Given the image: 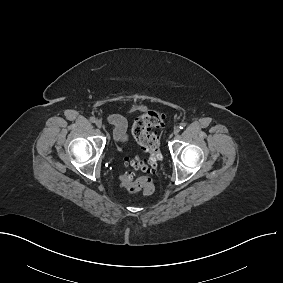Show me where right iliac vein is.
<instances>
[{"mask_svg": "<svg viewBox=\"0 0 283 283\" xmlns=\"http://www.w3.org/2000/svg\"><path fill=\"white\" fill-rule=\"evenodd\" d=\"M96 126H97L98 128H101V127H102V122H101L100 120H97V121H96Z\"/></svg>", "mask_w": 283, "mask_h": 283, "instance_id": "right-iliac-vein-1", "label": "right iliac vein"}]
</instances>
